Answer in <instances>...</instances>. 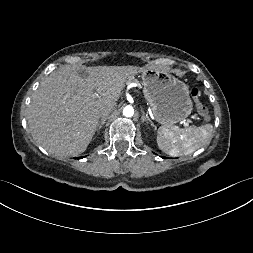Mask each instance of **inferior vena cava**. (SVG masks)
<instances>
[{
    "mask_svg": "<svg viewBox=\"0 0 253 253\" xmlns=\"http://www.w3.org/2000/svg\"><path fill=\"white\" fill-rule=\"evenodd\" d=\"M116 107V103L115 102H112L110 103L109 105H106L104 106L102 109H101V117H106L110 114V112H112Z\"/></svg>",
    "mask_w": 253,
    "mask_h": 253,
    "instance_id": "1",
    "label": "inferior vena cava"
}]
</instances>
